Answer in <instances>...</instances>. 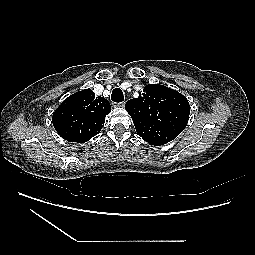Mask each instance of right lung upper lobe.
<instances>
[{"label":"right lung upper lobe","instance_id":"cb5924a9","mask_svg":"<svg viewBox=\"0 0 255 255\" xmlns=\"http://www.w3.org/2000/svg\"><path fill=\"white\" fill-rule=\"evenodd\" d=\"M110 111L107 99L85 89L66 98L53 113L52 122L65 140L84 143L100 132Z\"/></svg>","mask_w":255,"mask_h":255}]
</instances>
